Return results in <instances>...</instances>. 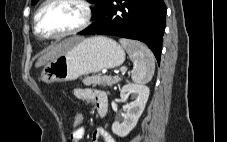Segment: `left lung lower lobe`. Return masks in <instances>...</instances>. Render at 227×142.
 I'll return each instance as SVG.
<instances>
[{
    "mask_svg": "<svg viewBox=\"0 0 227 142\" xmlns=\"http://www.w3.org/2000/svg\"><path fill=\"white\" fill-rule=\"evenodd\" d=\"M164 0H108L80 35L104 34L139 40L148 45L160 62L165 29Z\"/></svg>",
    "mask_w": 227,
    "mask_h": 142,
    "instance_id": "obj_1",
    "label": "left lung lower lobe"
}]
</instances>
